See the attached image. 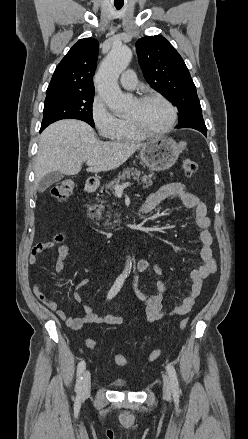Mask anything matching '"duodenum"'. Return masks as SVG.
<instances>
[{
	"label": "duodenum",
	"instance_id": "1",
	"mask_svg": "<svg viewBox=\"0 0 248 439\" xmlns=\"http://www.w3.org/2000/svg\"><path fill=\"white\" fill-rule=\"evenodd\" d=\"M97 187H98V185H97L96 181H94L93 179H89V180L86 182L85 190H86V192H88V193H93V192L96 191ZM122 228H123L122 225H117L116 228H115V230H116V231H119V230H121Z\"/></svg>",
	"mask_w": 248,
	"mask_h": 439
}]
</instances>
